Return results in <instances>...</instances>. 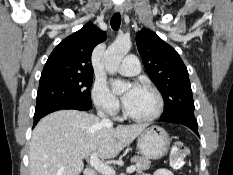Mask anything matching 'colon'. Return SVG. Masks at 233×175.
<instances>
[{
  "label": "colon",
  "mask_w": 233,
  "mask_h": 175,
  "mask_svg": "<svg viewBox=\"0 0 233 175\" xmlns=\"http://www.w3.org/2000/svg\"><path fill=\"white\" fill-rule=\"evenodd\" d=\"M188 152V147L182 141H175L171 146L170 165L179 175H185L183 173V168Z\"/></svg>",
  "instance_id": "colon-1"
}]
</instances>
